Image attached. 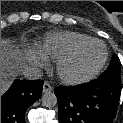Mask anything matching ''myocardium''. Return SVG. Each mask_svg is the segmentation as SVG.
<instances>
[{"label": "myocardium", "mask_w": 123, "mask_h": 123, "mask_svg": "<svg viewBox=\"0 0 123 123\" xmlns=\"http://www.w3.org/2000/svg\"><path fill=\"white\" fill-rule=\"evenodd\" d=\"M92 43H97L101 45L103 48V57L99 62V64L93 70H91L89 73L85 75L76 76V75L68 74L65 70V66L67 65V63L71 61L83 48H85L86 46ZM107 58H108V52L104 43L97 39L91 38L75 45L65 54L60 56L55 63V72L57 77L65 84H69V85L83 84L91 81L100 73V71L103 69V67L107 62Z\"/></svg>", "instance_id": "1"}]
</instances>
